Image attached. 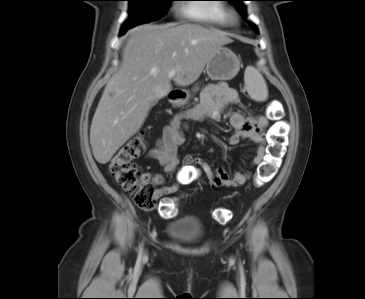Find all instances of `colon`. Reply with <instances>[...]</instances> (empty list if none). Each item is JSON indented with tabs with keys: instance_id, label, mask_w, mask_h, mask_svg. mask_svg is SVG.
<instances>
[{
	"instance_id": "5ec220e1",
	"label": "colon",
	"mask_w": 365,
	"mask_h": 299,
	"mask_svg": "<svg viewBox=\"0 0 365 299\" xmlns=\"http://www.w3.org/2000/svg\"><path fill=\"white\" fill-rule=\"evenodd\" d=\"M269 117L276 120L268 137L267 155L259 166L255 184L261 186L270 182L275 176L282 157L285 153L287 125L280 119V104H271ZM146 143L142 133H138L126 141L113 155L108 170L115 182L131 195L138 207L143 210H152L156 206V189L152 182L141 176L137 165L133 162L145 150ZM177 211V204L172 200H164L160 206V213L165 217L173 216ZM213 217L218 223H226L231 219V212L225 208L213 211Z\"/></svg>"
}]
</instances>
